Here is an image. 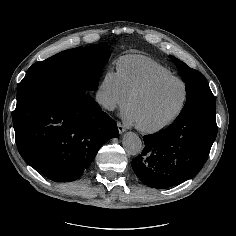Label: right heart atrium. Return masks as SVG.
Segmentation results:
<instances>
[{"label": "right heart atrium", "instance_id": "d8ad5b80", "mask_svg": "<svg viewBox=\"0 0 236 236\" xmlns=\"http://www.w3.org/2000/svg\"><path fill=\"white\" fill-rule=\"evenodd\" d=\"M95 100L109 112L127 105L129 95L125 91L117 71L108 69L104 72L95 91Z\"/></svg>", "mask_w": 236, "mask_h": 236}]
</instances>
